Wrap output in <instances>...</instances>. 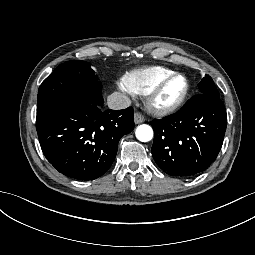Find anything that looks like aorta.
<instances>
[{"instance_id": "1", "label": "aorta", "mask_w": 255, "mask_h": 255, "mask_svg": "<svg viewBox=\"0 0 255 255\" xmlns=\"http://www.w3.org/2000/svg\"><path fill=\"white\" fill-rule=\"evenodd\" d=\"M136 137L141 142H148L153 137V130L149 125L142 124L135 131Z\"/></svg>"}]
</instances>
